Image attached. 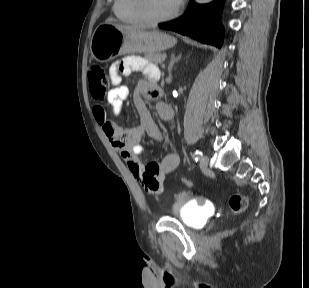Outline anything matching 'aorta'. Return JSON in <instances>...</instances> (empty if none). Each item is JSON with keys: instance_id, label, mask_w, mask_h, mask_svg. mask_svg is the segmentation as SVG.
<instances>
[{"instance_id": "obj_1", "label": "aorta", "mask_w": 309, "mask_h": 288, "mask_svg": "<svg viewBox=\"0 0 309 288\" xmlns=\"http://www.w3.org/2000/svg\"><path fill=\"white\" fill-rule=\"evenodd\" d=\"M195 1L199 4H205V3L210 2L211 0H195Z\"/></svg>"}]
</instances>
